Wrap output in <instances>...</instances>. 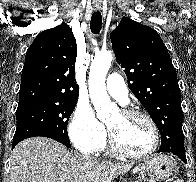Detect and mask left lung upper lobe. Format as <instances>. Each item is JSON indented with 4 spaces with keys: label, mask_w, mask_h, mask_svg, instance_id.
I'll return each mask as SVG.
<instances>
[{
    "label": "left lung upper lobe",
    "mask_w": 196,
    "mask_h": 182,
    "mask_svg": "<svg viewBox=\"0 0 196 182\" xmlns=\"http://www.w3.org/2000/svg\"><path fill=\"white\" fill-rule=\"evenodd\" d=\"M110 38L130 90L159 129L162 138L159 150H184L180 89L175 68L159 34L124 17Z\"/></svg>",
    "instance_id": "left-lung-upper-lobe-1"
}]
</instances>
